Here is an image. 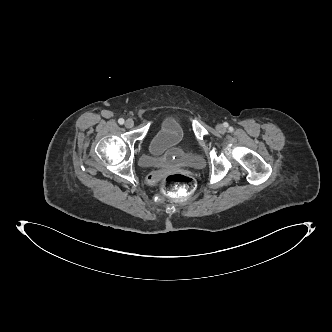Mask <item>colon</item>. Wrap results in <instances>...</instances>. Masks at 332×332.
I'll use <instances>...</instances> for the list:
<instances>
[{
	"instance_id": "obj_1",
	"label": "colon",
	"mask_w": 332,
	"mask_h": 332,
	"mask_svg": "<svg viewBox=\"0 0 332 332\" xmlns=\"http://www.w3.org/2000/svg\"><path fill=\"white\" fill-rule=\"evenodd\" d=\"M161 191L173 198L184 200L191 197L196 190L195 179L186 173H167L159 180Z\"/></svg>"
}]
</instances>
